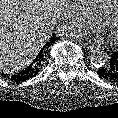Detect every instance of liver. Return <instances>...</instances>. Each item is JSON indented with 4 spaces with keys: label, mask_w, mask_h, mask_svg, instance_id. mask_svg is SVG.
Segmentation results:
<instances>
[{
    "label": "liver",
    "mask_w": 118,
    "mask_h": 118,
    "mask_svg": "<svg viewBox=\"0 0 118 118\" xmlns=\"http://www.w3.org/2000/svg\"><path fill=\"white\" fill-rule=\"evenodd\" d=\"M60 0H0V70L25 69L49 41Z\"/></svg>",
    "instance_id": "obj_1"
}]
</instances>
